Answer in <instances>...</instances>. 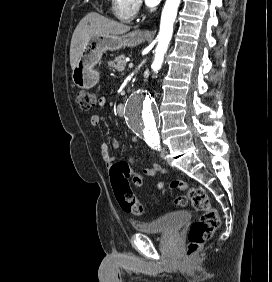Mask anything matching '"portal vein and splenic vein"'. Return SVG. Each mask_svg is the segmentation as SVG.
I'll list each match as a JSON object with an SVG mask.
<instances>
[{
  "label": "portal vein and splenic vein",
  "instance_id": "portal-vein-and-splenic-vein-1",
  "mask_svg": "<svg viewBox=\"0 0 272 282\" xmlns=\"http://www.w3.org/2000/svg\"><path fill=\"white\" fill-rule=\"evenodd\" d=\"M133 66H134L133 63H129V64H128V67H129L130 69L133 68Z\"/></svg>",
  "mask_w": 272,
  "mask_h": 282
}]
</instances>
